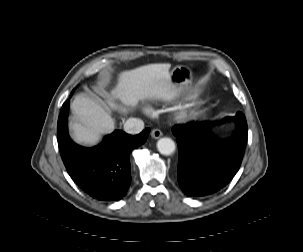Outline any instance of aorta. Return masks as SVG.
I'll use <instances>...</instances> for the list:
<instances>
[{"instance_id": "762f6f07", "label": "aorta", "mask_w": 303, "mask_h": 252, "mask_svg": "<svg viewBox=\"0 0 303 252\" xmlns=\"http://www.w3.org/2000/svg\"><path fill=\"white\" fill-rule=\"evenodd\" d=\"M175 143L171 138H160L157 142V149L162 155H171L175 151Z\"/></svg>"}]
</instances>
